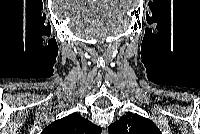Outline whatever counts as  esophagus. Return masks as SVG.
I'll list each match as a JSON object with an SVG mask.
<instances>
[{"instance_id":"34e87169","label":"esophagus","mask_w":200,"mask_h":134,"mask_svg":"<svg viewBox=\"0 0 200 134\" xmlns=\"http://www.w3.org/2000/svg\"><path fill=\"white\" fill-rule=\"evenodd\" d=\"M102 133H103V134H107V130H106V129H104Z\"/></svg>"}]
</instances>
